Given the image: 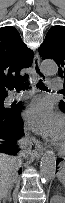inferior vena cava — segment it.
<instances>
[{
    "label": "inferior vena cava",
    "mask_w": 65,
    "mask_h": 203,
    "mask_svg": "<svg viewBox=\"0 0 65 203\" xmlns=\"http://www.w3.org/2000/svg\"><path fill=\"white\" fill-rule=\"evenodd\" d=\"M19 147L21 151L18 153L17 161H18V168L21 166L22 158L26 157V152L29 149V140L27 138H22L19 142ZM18 170V169H17Z\"/></svg>",
    "instance_id": "inferior-vena-cava-1"
}]
</instances>
